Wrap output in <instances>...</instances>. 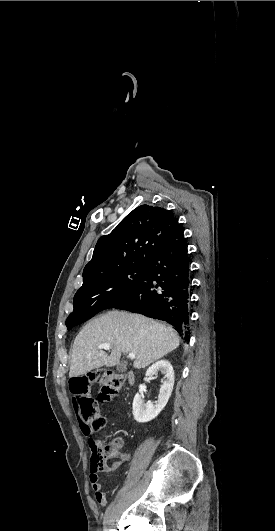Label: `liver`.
I'll use <instances>...</instances> for the list:
<instances>
[{
	"instance_id": "1",
	"label": "liver",
	"mask_w": 275,
	"mask_h": 531,
	"mask_svg": "<svg viewBox=\"0 0 275 531\" xmlns=\"http://www.w3.org/2000/svg\"><path fill=\"white\" fill-rule=\"evenodd\" d=\"M110 343L111 353L98 349ZM180 345L173 327L143 315H131L125 311H108L99 319L89 321L77 335L71 355L69 377L85 375L99 367L119 365L121 353H135V369H145L151 363L166 357Z\"/></svg>"
}]
</instances>
